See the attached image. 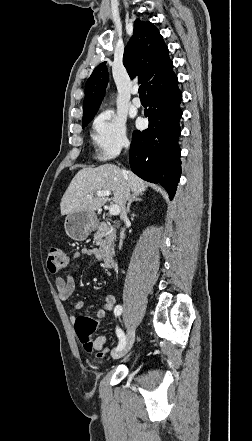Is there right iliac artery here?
Listing matches in <instances>:
<instances>
[{"label": "right iliac artery", "mask_w": 252, "mask_h": 441, "mask_svg": "<svg viewBox=\"0 0 252 441\" xmlns=\"http://www.w3.org/2000/svg\"><path fill=\"white\" fill-rule=\"evenodd\" d=\"M122 311H123L122 306L121 305H117L115 307V310H114L115 316H120ZM116 334H117V336L119 338V344H118V346L116 348V351H118V350H121L125 346L126 337H125L124 332L120 328H118V327L116 328Z\"/></svg>", "instance_id": "1"}]
</instances>
